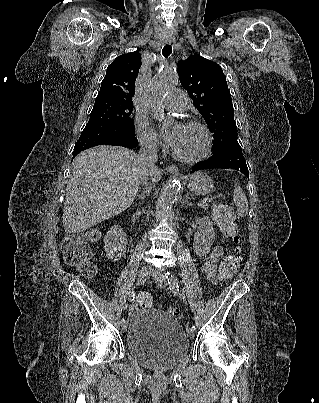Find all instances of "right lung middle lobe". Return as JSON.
<instances>
[{
	"label": "right lung middle lobe",
	"instance_id": "1",
	"mask_svg": "<svg viewBox=\"0 0 319 403\" xmlns=\"http://www.w3.org/2000/svg\"><path fill=\"white\" fill-rule=\"evenodd\" d=\"M132 111L131 104L95 102L86 127L120 125L129 131H134L133 119L130 118Z\"/></svg>",
	"mask_w": 319,
	"mask_h": 403
}]
</instances>
